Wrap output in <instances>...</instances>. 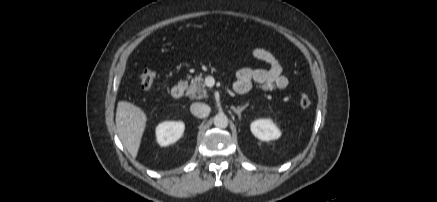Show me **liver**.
Segmentation results:
<instances>
[{"label": "liver", "instance_id": "1", "mask_svg": "<svg viewBox=\"0 0 437 202\" xmlns=\"http://www.w3.org/2000/svg\"><path fill=\"white\" fill-rule=\"evenodd\" d=\"M115 121L117 133L123 146L135 158L146 128L147 116L145 112L130 102L119 101Z\"/></svg>", "mask_w": 437, "mask_h": 202}]
</instances>
